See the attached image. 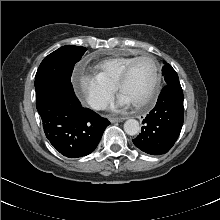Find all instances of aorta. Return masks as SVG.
Listing matches in <instances>:
<instances>
[{"label":"aorta","instance_id":"1","mask_svg":"<svg viewBox=\"0 0 220 220\" xmlns=\"http://www.w3.org/2000/svg\"><path fill=\"white\" fill-rule=\"evenodd\" d=\"M124 131L126 132V134H128L130 136H134V135L138 134L140 131L139 122L135 119H128L124 123Z\"/></svg>","mask_w":220,"mask_h":220}]
</instances>
